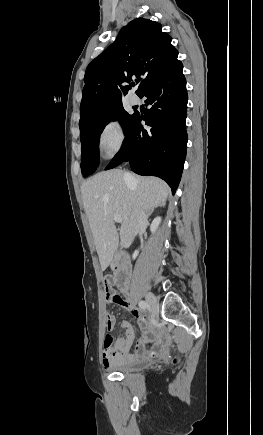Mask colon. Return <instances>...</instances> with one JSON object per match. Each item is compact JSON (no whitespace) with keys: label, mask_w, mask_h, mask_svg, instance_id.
<instances>
[{"label":"colon","mask_w":263,"mask_h":435,"mask_svg":"<svg viewBox=\"0 0 263 435\" xmlns=\"http://www.w3.org/2000/svg\"><path fill=\"white\" fill-rule=\"evenodd\" d=\"M112 282H113V280L111 277H108L104 280L106 299L109 302L118 303V302H120L121 297L118 294H116L114 292V290L112 289ZM102 348L104 350H114L115 343H114V341H112V337L110 335H107L105 337V339L103 340Z\"/></svg>","instance_id":"5ec220e1"}]
</instances>
